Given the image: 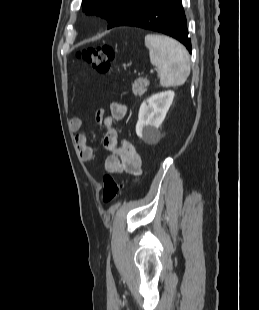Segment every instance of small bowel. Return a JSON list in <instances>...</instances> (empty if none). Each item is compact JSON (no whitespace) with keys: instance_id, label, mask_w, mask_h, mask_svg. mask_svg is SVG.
I'll list each match as a JSON object with an SVG mask.
<instances>
[{"instance_id":"obj_1","label":"small bowel","mask_w":259,"mask_h":310,"mask_svg":"<svg viewBox=\"0 0 259 310\" xmlns=\"http://www.w3.org/2000/svg\"><path fill=\"white\" fill-rule=\"evenodd\" d=\"M127 111L124 104L113 102L110 105V115L105 116V111L99 109L96 112V120L104 127L103 147L107 154L99 161L104 165L107 172L113 174L126 173L138 177L142 173V160L134 145L127 139L118 144L116 124L121 120ZM82 128L80 118L70 120V129L75 132V145L83 161L90 162L96 157L95 151L88 144L85 134L78 133Z\"/></svg>"}]
</instances>
